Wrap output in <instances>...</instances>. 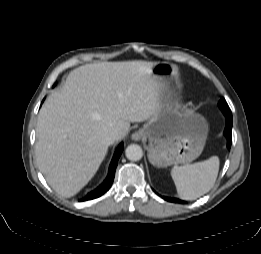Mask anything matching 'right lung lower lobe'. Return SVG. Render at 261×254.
<instances>
[{"instance_id":"1","label":"right lung lower lobe","mask_w":261,"mask_h":254,"mask_svg":"<svg viewBox=\"0 0 261 254\" xmlns=\"http://www.w3.org/2000/svg\"><path fill=\"white\" fill-rule=\"evenodd\" d=\"M123 151V144H120L115 151L114 157L112 159V162L109 167V172L107 175V178L105 181L94 191L89 193L85 198H83L81 201H86V200H91L97 197H100L103 195L111 186L113 180H114V175H115V170L118 164V159Z\"/></svg>"}]
</instances>
